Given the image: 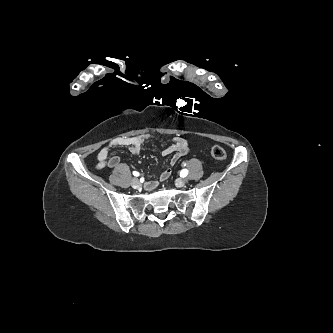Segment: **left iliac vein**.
Here are the masks:
<instances>
[{
	"mask_svg": "<svg viewBox=\"0 0 333 333\" xmlns=\"http://www.w3.org/2000/svg\"><path fill=\"white\" fill-rule=\"evenodd\" d=\"M186 184V180L182 178H178L175 180V185L177 187H183Z\"/></svg>",
	"mask_w": 333,
	"mask_h": 333,
	"instance_id": "1",
	"label": "left iliac vein"
}]
</instances>
